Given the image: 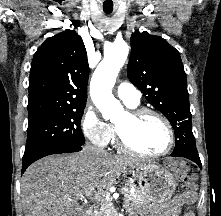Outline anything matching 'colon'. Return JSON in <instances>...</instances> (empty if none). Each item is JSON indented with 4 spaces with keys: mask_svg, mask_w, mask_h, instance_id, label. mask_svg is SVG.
<instances>
[{
    "mask_svg": "<svg viewBox=\"0 0 221 216\" xmlns=\"http://www.w3.org/2000/svg\"><path fill=\"white\" fill-rule=\"evenodd\" d=\"M171 168L175 172V174L183 181V186L188 190L187 193L192 194L193 185L188 179L187 176V164L181 160H174L171 162Z\"/></svg>",
    "mask_w": 221,
    "mask_h": 216,
    "instance_id": "colon-1",
    "label": "colon"
}]
</instances>
